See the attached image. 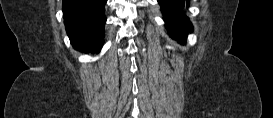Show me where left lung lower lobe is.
Here are the masks:
<instances>
[{"label": "left lung lower lobe", "instance_id": "0a47b994", "mask_svg": "<svg viewBox=\"0 0 273 118\" xmlns=\"http://www.w3.org/2000/svg\"><path fill=\"white\" fill-rule=\"evenodd\" d=\"M164 15V21L169 35L184 44L193 27L184 13V8L189 2L185 0H158Z\"/></svg>", "mask_w": 273, "mask_h": 118}]
</instances>
